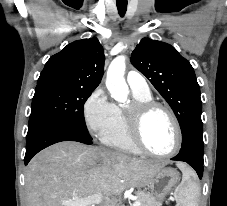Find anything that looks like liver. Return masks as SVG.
I'll use <instances>...</instances> for the list:
<instances>
[{
  "label": "liver",
  "mask_w": 227,
  "mask_h": 206,
  "mask_svg": "<svg viewBox=\"0 0 227 206\" xmlns=\"http://www.w3.org/2000/svg\"><path fill=\"white\" fill-rule=\"evenodd\" d=\"M165 165L97 146L60 142L38 153L28 164L26 203L27 206H66V202L97 193H101L103 202L129 187L149 185Z\"/></svg>",
  "instance_id": "obj_1"
}]
</instances>
